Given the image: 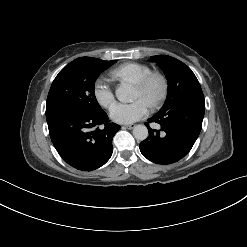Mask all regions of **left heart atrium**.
Segmentation results:
<instances>
[{
    "mask_svg": "<svg viewBox=\"0 0 247 247\" xmlns=\"http://www.w3.org/2000/svg\"><path fill=\"white\" fill-rule=\"evenodd\" d=\"M149 111V103L142 98L133 102H119L114 104L110 110L113 121L123 124L133 123L145 117Z\"/></svg>",
    "mask_w": 247,
    "mask_h": 247,
    "instance_id": "obj_1",
    "label": "left heart atrium"
}]
</instances>
